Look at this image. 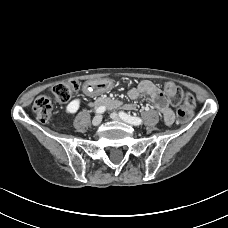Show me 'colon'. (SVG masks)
I'll list each match as a JSON object with an SVG mask.
<instances>
[{
	"mask_svg": "<svg viewBox=\"0 0 228 228\" xmlns=\"http://www.w3.org/2000/svg\"><path fill=\"white\" fill-rule=\"evenodd\" d=\"M79 88L80 83L78 81L67 80L56 84L52 88V92L57 102L65 103L71 99ZM165 91L171 102L179 107L177 110L178 119L181 122L189 121L193 116L196 105L195 98L172 82L165 84ZM32 109L36 119L40 122H47L53 113L52 102L50 98L45 95H40L35 99Z\"/></svg>",
	"mask_w": 228,
	"mask_h": 228,
	"instance_id": "colon-1",
	"label": "colon"
}]
</instances>
